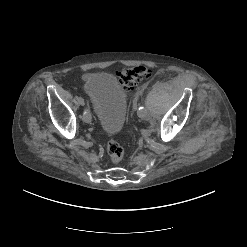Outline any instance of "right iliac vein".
<instances>
[{
	"mask_svg": "<svg viewBox=\"0 0 247 247\" xmlns=\"http://www.w3.org/2000/svg\"><path fill=\"white\" fill-rule=\"evenodd\" d=\"M91 119H92L91 113H90L89 109L86 108V109L84 110V113H83V120H84L86 123H90V122H91Z\"/></svg>",
	"mask_w": 247,
	"mask_h": 247,
	"instance_id": "1",
	"label": "right iliac vein"
}]
</instances>
